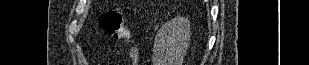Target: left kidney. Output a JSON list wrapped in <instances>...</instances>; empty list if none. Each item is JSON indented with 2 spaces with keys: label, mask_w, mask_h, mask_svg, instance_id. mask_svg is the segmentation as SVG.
Returning <instances> with one entry per match:
<instances>
[{
  "label": "left kidney",
  "mask_w": 309,
  "mask_h": 65,
  "mask_svg": "<svg viewBox=\"0 0 309 65\" xmlns=\"http://www.w3.org/2000/svg\"><path fill=\"white\" fill-rule=\"evenodd\" d=\"M190 22L177 16L157 32L153 45V65H182L190 42Z\"/></svg>",
  "instance_id": "5707ae66"
}]
</instances>
